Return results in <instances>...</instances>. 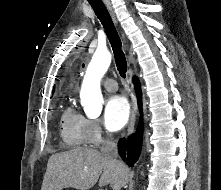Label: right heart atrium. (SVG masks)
Wrapping results in <instances>:
<instances>
[{
    "mask_svg": "<svg viewBox=\"0 0 221 190\" xmlns=\"http://www.w3.org/2000/svg\"><path fill=\"white\" fill-rule=\"evenodd\" d=\"M106 133L97 119H86L85 140L90 146H98L104 142Z\"/></svg>",
    "mask_w": 221,
    "mask_h": 190,
    "instance_id": "obj_1",
    "label": "right heart atrium"
}]
</instances>
